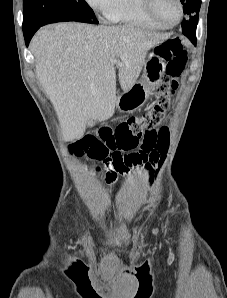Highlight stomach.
Segmentation results:
<instances>
[{
  "mask_svg": "<svg viewBox=\"0 0 227 298\" xmlns=\"http://www.w3.org/2000/svg\"><path fill=\"white\" fill-rule=\"evenodd\" d=\"M165 65L161 57L151 53L144 63L142 78L123 92L116 100V108L122 113H133L147 101L151 91L159 84Z\"/></svg>",
  "mask_w": 227,
  "mask_h": 298,
  "instance_id": "stomach-1",
  "label": "stomach"
}]
</instances>
